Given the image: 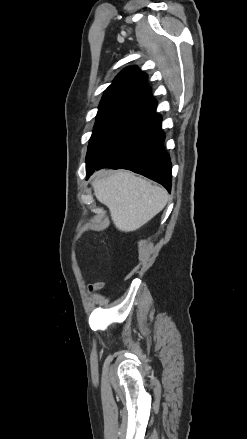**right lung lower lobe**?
<instances>
[{
	"mask_svg": "<svg viewBox=\"0 0 247 439\" xmlns=\"http://www.w3.org/2000/svg\"><path fill=\"white\" fill-rule=\"evenodd\" d=\"M160 115L140 131L100 160L96 165L86 166L87 178L101 168L128 169L142 174L171 189L172 167L169 154L164 149V133Z\"/></svg>",
	"mask_w": 247,
	"mask_h": 439,
	"instance_id": "1",
	"label": "right lung lower lobe"
}]
</instances>
